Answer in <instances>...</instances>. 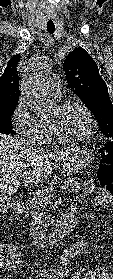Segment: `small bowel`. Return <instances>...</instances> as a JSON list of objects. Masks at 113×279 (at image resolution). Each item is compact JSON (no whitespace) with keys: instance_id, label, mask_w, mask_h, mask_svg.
<instances>
[{"instance_id":"obj_1","label":"small bowel","mask_w":113,"mask_h":279,"mask_svg":"<svg viewBox=\"0 0 113 279\" xmlns=\"http://www.w3.org/2000/svg\"><path fill=\"white\" fill-rule=\"evenodd\" d=\"M94 190V183L89 181L85 183L83 188V195L87 196ZM113 201V196L109 194H100L94 199V204L97 206H104L108 202ZM20 260V259H19ZM14 260L10 264L11 267H18L20 261ZM72 279H113V274L109 273L106 269L102 267H97L89 272H84L82 270H76L72 276Z\"/></svg>"}]
</instances>
